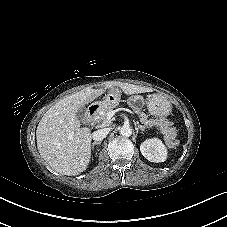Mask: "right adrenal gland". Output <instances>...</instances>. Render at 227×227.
I'll return each mask as SVG.
<instances>
[{
	"mask_svg": "<svg viewBox=\"0 0 227 227\" xmlns=\"http://www.w3.org/2000/svg\"><path fill=\"white\" fill-rule=\"evenodd\" d=\"M100 144H101V141L93 142L92 145H91V149H94V146H95V145H100Z\"/></svg>",
	"mask_w": 227,
	"mask_h": 227,
	"instance_id": "2a0ac1e0",
	"label": "right adrenal gland"
}]
</instances>
